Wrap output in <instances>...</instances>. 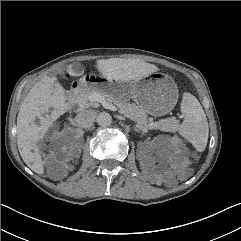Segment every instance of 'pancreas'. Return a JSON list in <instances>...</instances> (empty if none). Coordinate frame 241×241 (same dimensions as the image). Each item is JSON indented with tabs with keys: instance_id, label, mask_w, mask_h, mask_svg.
Here are the masks:
<instances>
[{
	"instance_id": "1",
	"label": "pancreas",
	"mask_w": 241,
	"mask_h": 241,
	"mask_svg": "<svg viewBox=\"0 0 241 241\" xmlns=\"http://www.w3.org/2000/svg\"><path fill=\"white\" fill-rule=\"evenodd\" d=\"M98 94L105 98V101L108 103H114L118 108L119 112L124 116L134 120L138 124L145 126L147 128L149 121L147 119V114L145 111L137 107L133 103H129L124 100H116L111 96L105 95L96 89H85L79 95L74 97L75 104L78 105L80 109H84L90 106V104L94 103L93 95ZM178 120L175 117L167 118L161 120L159 125L154 126L153 128H158L163 131H174L178 127Z\"/></svg>"
}]
</instances>
